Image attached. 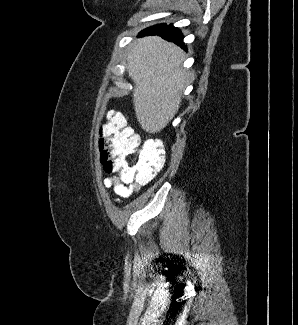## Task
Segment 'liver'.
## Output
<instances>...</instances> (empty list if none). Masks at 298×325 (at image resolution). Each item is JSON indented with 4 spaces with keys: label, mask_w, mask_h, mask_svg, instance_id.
<instances>
[{
    "label": "liver",
    "mask_w": 298,
    "mask_h": 325,
    "mask_svg": "<svg viewBox=\"0 0 298 325\" xmlns=\"http://www.w3.org/2000/svg\"><path fill=\"white\" fill-rule=\"evenodd\" d=\"M184 50L161 36H143L129 46L127 72L132 78L136 118L145 132H160L174 118L186 84Z\"/></svg>",
    "instance_id": "6515ba94"
}]
</instances>
